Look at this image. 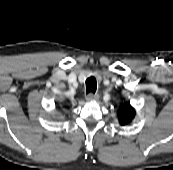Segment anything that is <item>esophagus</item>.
<instances>
[{"instance_id":"1","label":"esophagus","mask_w":173,"mask_h":170,"mask_svg":"<svg viewBox=\"0 0 173 170\" xmlns=\"http://www.w3.org/2000/svg\"><path fill=\"white\" fill-rule=\"evenodd\" d=\"M99 99V95L98 94H94V93H89L86 95V101L87 102H95Z\"/></svg>"}]
</instances>
